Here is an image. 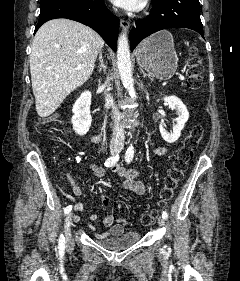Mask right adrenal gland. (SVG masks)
<instances>
[{
  "instance_id": "2a0ac1e0",
  "label": "right adrenal gland",
  "mask_w": 240,
  "mask_h": 281,
  "mask_svg": "<svg viewBox=\"0 0 240 281\" xmlns=\"http://www.w3.org/2000/svg\"><path fill=\"white\" fill-rule=\"evenodd\" d=\"M99 61H100V64H99V66H98V71H99V73H100V72L105 73V72H106V69H107V65H105V63H104V61H103L102 50H101L100 53H99Z\"/></svg>"
}]
</instances>
